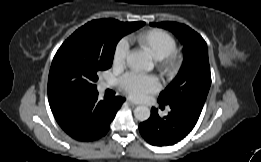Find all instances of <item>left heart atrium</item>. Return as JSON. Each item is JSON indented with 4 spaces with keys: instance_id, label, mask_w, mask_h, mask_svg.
Returning a JSON list of instances; mask_svg holds the SVG:
<instances>
[{
    "instance_id": "left-heart-atrium-1",
    "label": "left heart atrium",
    "mask_w": 261,
    "mask_h": 162,
    "mask_svg": "<svg viewBox=\"0 0 261 162\" xmlns=\"http://www.w3.org/2000/svg\"><path fill=\"white\" fill-rule=\"evenodd\" d=\"M120 86L130 98L140 100L157 91L161 84L159 79L152 75L127 73L121 77Z\"/></svg>"
}]
</instances>
